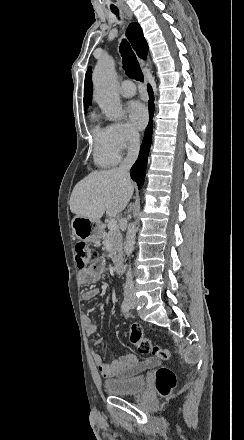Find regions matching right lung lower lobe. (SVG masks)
I'll list each match as a JSON object with an SVG mask.
<instances>
[{"label": "right lung lower lobe", "instance_id": "98d812e1", "mask_svg": "<svg viewBox=\"0 0 244 440\" xmlns=\"http://www.w3.org/2000/svg\"><path fill=\"white\" fill-rule=\"evenodd\" d=\"M148 92H149V117L150 121L149 124L145 130L143 142L140 148V153L138 156L137 161L132 166L130 170L131 178L137 182L138 188L140 189L144 183L145 179V172L147 167V158L150 150L151 145V136H152V122L151 119L153 117L154 113V96L153 92L150 86H148Z\"/></svg>", "mask_w": 244, "mask_h": 440}]
</instances>
